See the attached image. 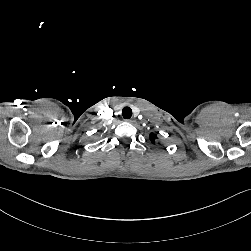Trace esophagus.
I'll list each match as a JSON object with an SVG mask.
<instances>
[{
    "label": "esophagus",
    "mask_w": 251,
    "mask_h": 251,
    "mask_svg": "<svg viewBox=\"0 0 251 251\" xmlns=\"http://www.w3.org/2000/svg\"><path fill=\"white\" fill-rule=\"evenodd\" d=\"M125 121H126V122H132V120H131V119H126Z\"/></svg>",
    "instance_id": "34e87169"
}]
</instances>
